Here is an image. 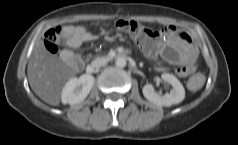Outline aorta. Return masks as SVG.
<instances>
[{"label":"aorta","mask_w":238,"mask_h":145,"mask_svg":"<svg viewBox=\"0 0 238 145\" xmlns=\"http://www.w3.org/2000/svg\"><path fill=\"white\" fill-rule=\"evenodd\" d=\"M117 67L123 68L126 66V59L124 57H118L115 61Z\"/></svg>","instance_id":"762f6f07"}]
</instances>
